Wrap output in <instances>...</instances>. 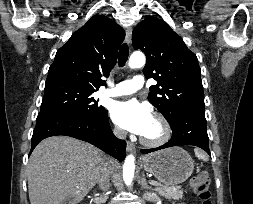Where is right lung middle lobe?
Segmentation results:
<instances>
[{
    "mask_svg": "<svg viewBox=\"0 0 253 204\" xmlns=\"http://www.w3.org/2000/svg\"><path fill=\"white\" fill-rule=\"evenodd\" d=\"M95 91L72 83L46 84L40 112H66L98 119L106 110L92 97Z\"/></svg>",
    "mask_w": 253,
    "mask_h": 204,
    "instance_id": "right-lung-middle-lobe-1",
    "label": "right lung middle lobe"
}]
</instances>
